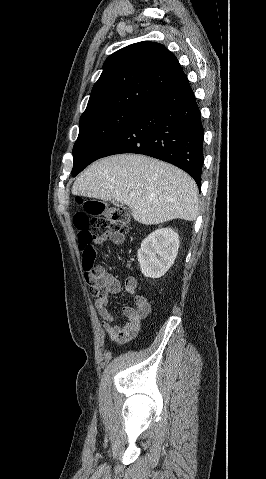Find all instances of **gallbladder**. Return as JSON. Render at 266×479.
Segmentation results:
<instances>
[{"label":"gallbladder","instance_id":"obj_1","mask_svg":"<svg viewBox=\"0 0 266 479\" xmlns=\"http://www.w3.org/2000/svg\"><path fill=\"white\" fill-rule=\"evenodd\" d=\"M112 203L115 205V206H123V203L119 202V201H116V200H112Z\"/></svg>","mask_w":266,"mask_h":479}]
</instances>
